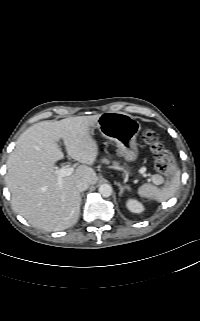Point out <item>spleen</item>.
<instances>
[{"instance_id": "spleen-1", "label": "spleen", "mask_w": 200, "mask_h": 321, "mask_svg": "<svg viewBox=\"0 0 200 321\" xmlns=\"http://www.w3.org/2000/svg\"><path fill=\"white\" fill-rule=\"evenodd\" d=\"M171 170L173 176L166 186L158 188L151 183H145L138 188L137 194L142 198L152 199L158 202H163L173 197L180 184L181 172L176 165H171ZM162 182L163 178L155 175V184L159 185Z\"/></svg>"}]
</instances>
